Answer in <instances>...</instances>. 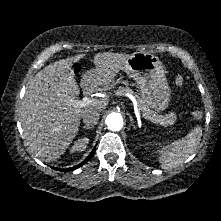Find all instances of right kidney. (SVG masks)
<instances>
[{"label": "right kidney", "instance_id": "ca27d5eb", "mask_svg": "<svg viewBox=\"0 0 221 221\" xmlns=\"http://www.w3.org/2000/svg\"><path fill=\"white\" fill-rule=\"evenodd\" d=\"M89 139L83 137L74 142V145L70 149V153L82 152L86 149Z\"/></svg>", "mask_w": 221, "mask_h": 221}]
</instances>
